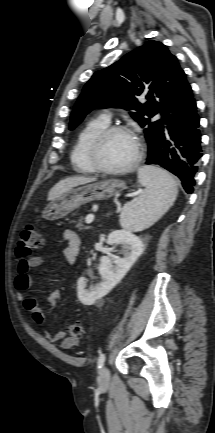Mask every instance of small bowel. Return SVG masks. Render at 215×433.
I'll use <instances>...</instances> for the list:
<instances>
[{"instance_id":"small-bowel-1","label":"small bowel","mask_w":215,"mask_h":433,"mask_svg":"<svg viewBox=\"0 0 215 433\" xmlns=\"http://www.w3.org/2000/svg\"><path fill=\"white\" fill-rule=\"evenodd\" d=\"M63 239L67 242V245L60 247L58 253L64 259L68 265L75 263L80 249L81 239L73 231L66 230L63 234ZM43 264V259L40 256H29L21 258L17 266V276L14 281V286L17 291V295L22 302L23 308L29 312L32 319L40 326L44 325V316L42 308L33 297L25 296L24 293L31 288L33 279L30 275V270L33 268L40 267ZM59 292H54L52 297H59ZM45 337L51 342H60V346L63 349H71L78 345L77 338L64 337V332H44Z\"/></svg>"}]
</instances>
